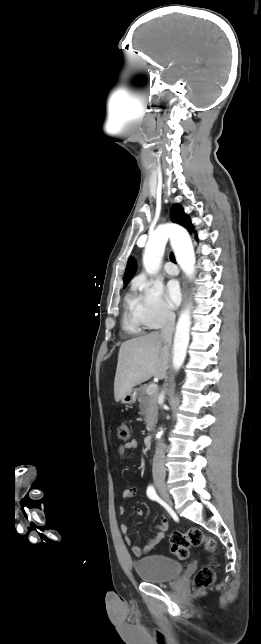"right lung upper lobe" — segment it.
<instances>
[{
    "label": "right lung upper lobe",
    "mask_w": 261,
    "mask_h": 644,
    "mask_svg": "<svg viewBox=\"0 0 261 644\" xmlns=\"http://www.w3.org/2000/svg\"><path fill=\"white\" fill-rule=\"evenodd\" d=\"M171 220L174 223H178L184 226L190 233L193 232V225L189 217L184 213L182 207L178 204H175L171 208ZM136 270V263L132 258H129L127 267L124 275V285H127L133 274Z\"/></svg>",
    "instance_id": "1"
}]
</instances>
